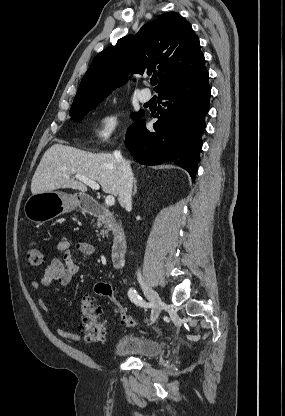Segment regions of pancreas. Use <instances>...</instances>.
I'll list each match as a JSON object with an SVG mask.
<instances>
[{
    "label": "pancreas",
    "mask_w": 285,
    "mask_h": 416,
    "mask_svg": "<svg viewBox=\"0 0 285 416\" xmlns=\"http://www.w3.org/2000/svg\"><path fill=\"white\" fill-rule=\"evenodd\" d=\"M101 226H104V228H107V230H100V234H97V236H105V234H108V230H114L113 224H111V222H101V220H98L97 228H101Z\"/></svg>",
    "instance_id": "1"
}]
</instances>
